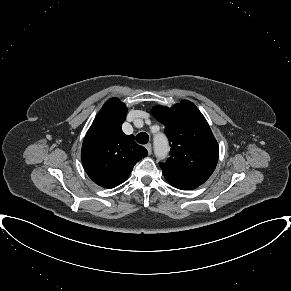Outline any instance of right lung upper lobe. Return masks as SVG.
Wrapping results in <instances>:
<instances>
[{
  "label": "right lung upper lobe",
  "instance_id": "1",
  "mask_svg": "<svg viewBox=\"0 0 291 291\" xmlns=\"http://www.w3.org/2000/svg\"><path fill=\"white\" fill-rule=\"evenodd\" d=\"M126 105L109 99L97 114L82 145V163L88 176L99 186L114 188L130 175L133 166L148 155L133 135L122 131Z\"/></svg>",
  "mask_w": 291,
  "mask_h": 291
}]
</instances>
